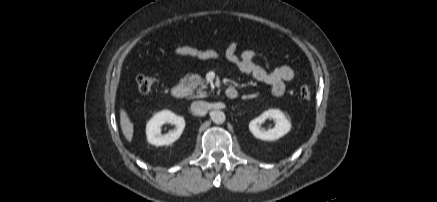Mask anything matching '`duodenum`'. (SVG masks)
Instances as JSON below:
<instances>
[{
    "instance_id": "410a0bca",
    "label": "duodenum",
    "mask_w": 437,
    "mask_h": 202,
    "mask_svg": "<svg viewBox=\"0 0 437 202\" xmlns=\"http://www.w3.org/2000/svg\"><path fill=\"white\" fill-rule=\"evenodd\" d=\"M171 94L176 99L183 98L185 94V88L181 84H176L171 89ZM225 95L229 99H235L238 96V91L234 87H229L225 90Z\"/></svg>"
}]
</instances>
